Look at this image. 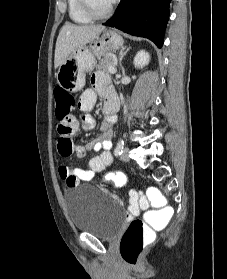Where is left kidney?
<instances>
[{"label":"left kidney","instance_id":"obj_1","mask_svg":"<svg viewBox=\"0 0 227 279\" xmlns=\"http://www.w3.org/2000/svg\"><path fill=\"white\" fill-rule=\"evenodd\" d=\"M150 60V55L145 50H140L137 52L136 56L134 57V66L135 68H143L148 65Z\"/></svg>","mask_w":227,"mask_h":279}]
</instances>
